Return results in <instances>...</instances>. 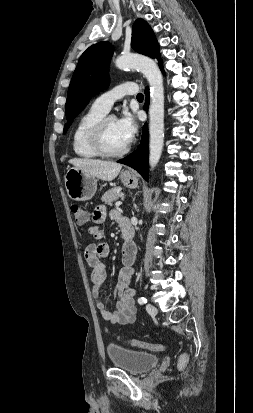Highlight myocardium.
<instances>
[{"label":"myocardium","instance_id":"myocardium-1","mask_svg":"<svg viewBox=\"0 0 253 413\" xmlns=\"http://www.w3.org/2000/svg\"><path fill=\"white\" fill-rule=\"evenodd\" d=\"M114 118L113 116H103L100 118L90 129L89 141L92 148L100 155L104 157H119L126 154L129 150V145L127 144L120 150L112 151L109 150L104 142V128L105 124L109 119Z\"/></svg>","mask_w":253,"mask_h":413}]
</instances>
